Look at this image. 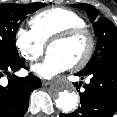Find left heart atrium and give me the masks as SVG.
<instances>
[{
	"label": "left heart atrium",
	"mask_w": 117,
	"mask_h": 117,
	"mask_svg": "<svg viewBox=\"0 0 117 117\" xmlns=\"http://www.w3.org/2000/svg\"><path fill=\"white\" fill-rule=\"evenodd\" d=\"M70 67V64L60 56L48 54L41 63L33 66L32 70L45 79H51Z\"/></svg>",
	"instance_id": "left-heart-atrium-1"
}]
</instances>
